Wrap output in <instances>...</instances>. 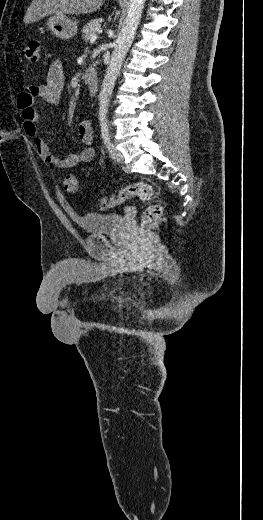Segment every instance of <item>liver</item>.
<instances>
[{
	"mask_svg": "<svg viewBox=\"0 0 263 520\" xmlns=\"http://www.w3.org/2000/svg\"><path fill=\"white\" fill-rule=\"evenodd\" d=\"M105 0H32L24 16L26 25L53 14L80 15L97 11Z\"/></svg>",
	"mask_w": 263,
	"mask_h": 520,
	"instance_id": "6515ba94",
	"label": "liver"
}]
</instances>
